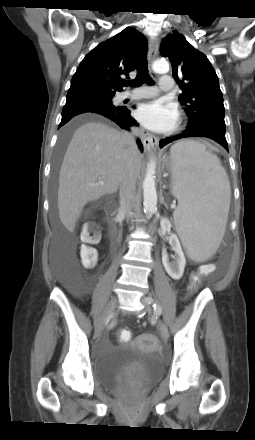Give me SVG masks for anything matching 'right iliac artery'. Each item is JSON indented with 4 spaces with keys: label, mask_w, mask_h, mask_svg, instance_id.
<instances>
[{
    "label": "right iliac artery",
    "mask_w": 255,
    "mask_h": 440,
    "mask_svg": "<svg viewBox=\"0 0 255 440\" xmlns=\"http://www.w3.org/2000/svg\"><path fill=\"white\" fill-rule=\"evenodd\" d=\"M115 324H116V321H113V322L109 325V327L111 328V327H113Z\"/></svg>",
    "instance_id": "1"
}]
</instances>
